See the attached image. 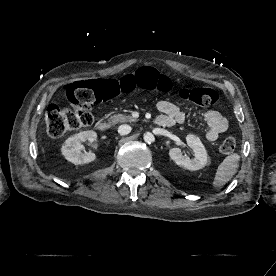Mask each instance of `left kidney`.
<instances>
[{
    "instance_id": "5707ae66",
    "label": "left kidney",
    "mask_w": 276,
    "mask_h": 276,
    "mask_svg": "<svg viewBox=\"0 0 276 276\" xmlns=\"http://www.w3.org/2000/svg\"><path fill=\"white\" fill-rule=\"evenodd\" d=\"M186 141L194 152V158L190 159L184 156L180 148H171L169 150L170 158L180 167L191 171L204 168L208 162V155L204 145L197 136L192 134L187 135Z\"/></svg>"
}]
</instances>
